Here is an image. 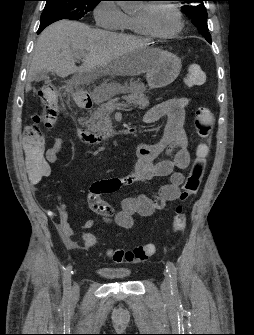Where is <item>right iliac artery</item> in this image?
Returning a JSON list of instances; mask_svg holds the SVG:
<instances>
[{
  "instance_id": "obj_1",
  "label": "right iliac artery",
  "mask_w": 254,
  "mask_h": 335,
  "mask_svg": "<svg viewBox=\"0 0 254 335\" xmlns=\"http://www.w3.org/2000/svg\"><path fill=\"white\" fill-rule=\"evenodd\" d=\"M71 265L65 268L64 272V302L68 303L70 299V289H71Z\"/></svg>"
}]
</instances>
